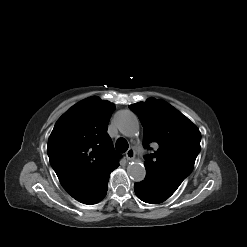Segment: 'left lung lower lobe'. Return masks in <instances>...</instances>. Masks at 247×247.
Returning a JSON list of instances; mask_svg holds the SVG:
<instances>
[{
  "instance_id": "left-lung-lower-lobe-1",
  "label": "left lung lower lobe",
  "mask_w": 247,
  "mask_h": 247,
  "mask_svg": "<svg viewBox=\"0 0 247 247\" xmlns=\"http://www.w3.org/2000/svg\"><path fill=\"white\" fill-rule=\"evenodd\" d=\"M134 190L140 200L150 204L161 203L173 194L148 175L142 182L135 183Z\"/></svg>"
}]
</instances>
